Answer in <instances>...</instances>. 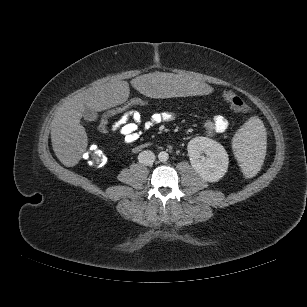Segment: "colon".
I'll return each instance as SVG.
<instances>
[{"label":"colon","instance_id":"1","mask_svg":"<svg viewBox=\"0 0 307 307\" xmlns=\"http://www.w3.org/2000/svg\"><path fill=\"white\" fill-rule=\"evenodd\" d=\"M223 97L234 111L245 113L249 110L246 102L234 92L227 91L223 94ZM152 102L153 100L151 98L142 95L130 96L102 115L98 126L99 131L104 135H110L112 133L111 127L114 122L121 120L139 107L150 105ZM84 157L87 163L94 167H102L107 162L105 154L96 145H89L85 150Z\"/></svg>","mask_w":307,"mask_h":307}]
</instances>
